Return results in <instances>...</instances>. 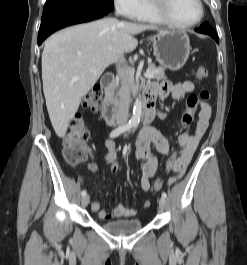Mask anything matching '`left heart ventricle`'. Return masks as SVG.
<instances>
[{"label": "left heart ventricle", "instance_id": "b2bd125f", "mask_svg": "<svg viewBox=\"0 0 247 265\" xmlns=\"http://www.w3.org/2000/svg\"><path fill=\"white\" fill-rule=\"evenodd\" d=\"M169 12L177 22L189 23L198 17L199 5L197 0H170Z\"/></svg>", "mask_w": 247, "mask_h": 265}]
</instances>
